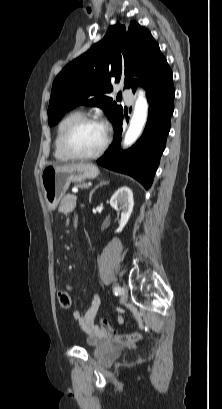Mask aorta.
Wrapping results in <instances>:
<instances>
[{
	"label": "aorta",
	"instance_id": "762f6f07",
	"mask_svg": "<svg viewBox=\"0 0 222 409\" xmlns=\"http://www.w3.org/2000/svg\"><path fill=\"white\" fill-rule=\"evenodd\" d=\"M148 116V103L143 92H139L129 128L125 134L123 146L129 147L140 137Z\"/></svg>",
	"mask_w": 222,
	"mask_h": 409
}]
</instances>
